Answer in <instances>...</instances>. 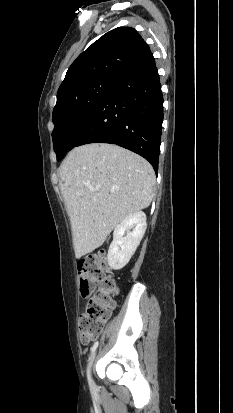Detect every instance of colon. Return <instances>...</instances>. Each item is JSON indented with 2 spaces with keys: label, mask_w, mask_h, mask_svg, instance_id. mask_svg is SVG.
Listing matches in <instances>:
<instances>
[{
  "label": "colon",
  "mask_w": 233,
  "mask_h": 413,
  "mask_svg": "<svg viewBox=\"0 0 233 413\" xmlns=\"http://www.w3.org/2000/svg\"><path fill=\"white\" fill-rule=\"evenodd\" d=\"M78 277L82 296H90L80 316L79 337L89 343L100 334L115 306L118 293L115 279L109 273L103 253L89 255L78 262Z\"/></svg>",
  "instance_id": "colon-1"
}]
</instances>
